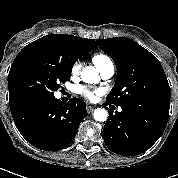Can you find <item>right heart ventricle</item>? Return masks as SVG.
<instances>
[{"instance_id": "e07e8e85", "label": "right heart ventricle", "mask_w": 178, "mask_h": 178, "mask_svg": "<svg viewBox=\"0 0 178 178\" xmlns=\"http://www.w3.org/2000/svg\"><path fill=\"white\" fill-rule=\"evenodd\" d=\"M92 62L94 63V65L100 70L101 68H103L106 64L112 62L111 59L106 56L105 54H95L92 57Z\"/></svg>"}]
</instances>
